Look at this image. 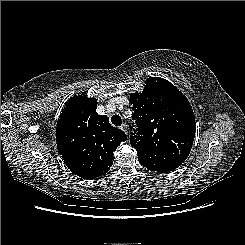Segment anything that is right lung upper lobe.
<instances>
[{
	"mask_svg": "<svg viewBox=\"0 0 245 245\" xmlns=\"http://www.w3.org/2000/svg\"><path fill=\"white\" fill-rule=\"evenodd\" d=\"M97 100L83 93L69 99L56 127L57 148L66 166L76 175L94 179L110 170L113 152L126 134L96 112Z\"/></svg>",
	"mask_w": 245,
	"mask_h": 245,
	"instance_id": "cb5924a9",
	"label": "right lung upper lobe"
}]
</instances>
